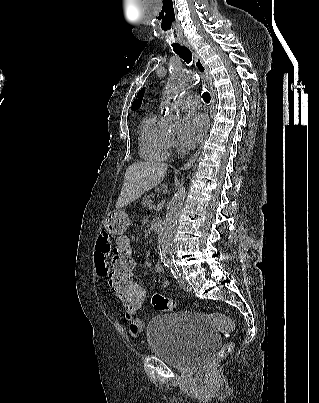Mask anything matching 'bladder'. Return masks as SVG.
I'll return each mask as SVG.
<instances>
[{"mask_svg":"<svg viewBox=\"0 0 319 403\" xmlns=\"http://www.w3.org/2000/svg\"><path fill=\"white\" fill-rule=\"evenodd\" d=\"M217 333L200 314L178 312L156 315L147 326L150 352L175 369L191 371L219 346Z\"/></svg>","mask_w":319,"mask_h":403,"instance_id":"31cf9c89","label":"bladder"}]
</instances>
